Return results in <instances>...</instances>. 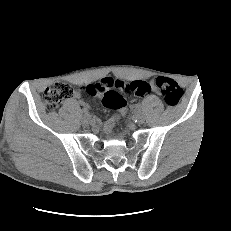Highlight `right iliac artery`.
Returning a JSON list of instances; mask_svg holds the SVG:
<instances>
[{"instance_id":"82829eb1","label":"right iliac artery","mask_w":231,"mask_h":231,"mask_svg":"<svg viewBox=\"0 0 231 231\" xmlns=\"http://www.w3.org/2000/svg\"><path fill=\"white\" fill-rule=\"evenodd\" d=\"M83 113H84L85 115H88V113H89L88 109L84 108V109H83Z\"/></svg>"}]
</instances>
